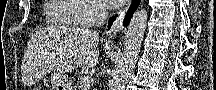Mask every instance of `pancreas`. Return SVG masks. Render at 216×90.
I'll return each mask as SVG.
<instances>
[{"mask_svg":"<svg viewBox=\"0 0 216 90\" xmlns=\"http://www.w3.org/2000/svg\"><path fill=\"white\" fill-rule=\"evenodd\" d=\"M78 86H79V82H78V84H76V86H75L76 90H77Z\"/></svg>","mask_w":216,"mask_h":90,"instance_id":"pancreas-1","label":"pancreas"}]
</instances>
